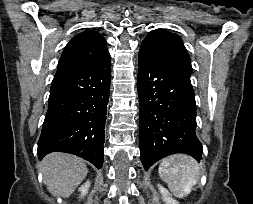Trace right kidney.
Listing matches in <instances>:
<instances>
[{
  "instance_id": "right-kidney-1",
  "label": "right kidney",
  "mask_w": 253,
  "mask_h": 204,
  "mask_svg": "<svg viewBox=\"0 0 253 204\" xmlns=\"http://www.w3.org/2000/svg\"><path fill=\"white\" fill-rule=\"evenodd\" d=\"M89 187H90V182L87 181L86 183H84V185H82V186L79 188L81 197H84V196L88 193Z\"/></svg>"
}]
</instances>
